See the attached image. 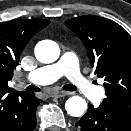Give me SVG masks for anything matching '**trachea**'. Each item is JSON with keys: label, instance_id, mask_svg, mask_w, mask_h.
<instances>
[{"label": "trachea", "instance_id": "obj_1", "mask_svg": "<svg viewBox=\"0 0 131 131\" xmlns=\"http://www.w3.org/2000/svg\"><path fill=\"white\" fill-rule=\"evenodd\" d=\"M63 89L66 91H76V87L72 84H66L63 86ZM27 90L32 91V92H39L40 88L35 86V85H30L27 87Z\"/></svg>", "mask_w": 131, "mask_h": 131}]
</instances>
